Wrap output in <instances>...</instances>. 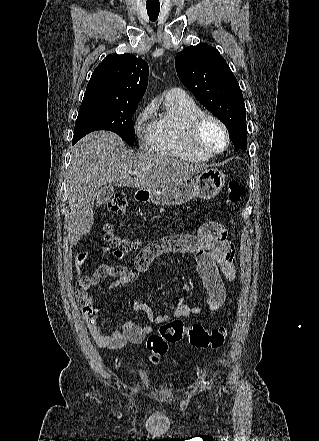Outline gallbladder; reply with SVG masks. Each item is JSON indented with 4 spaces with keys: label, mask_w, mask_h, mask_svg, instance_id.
<instances>
[{
    "label": "gallbladder",
    "mask_w": 319,
    "mask_h": 441,
    "mask_svg": "<svg viewBox=\"0 0 319 441\" xmlns=\"http://www.w3.org/2000/svg\"><path fill=\"white\" fill-rule=\"evenodd\" d=\"M114 194V188L113 186L107 185V186H103L101 187L98 196H97V205H103L105 204L107 201H109L111 199V197Z\"/></svg>",
    "instance_id": "gallbladder-1"
}]
</instances>
